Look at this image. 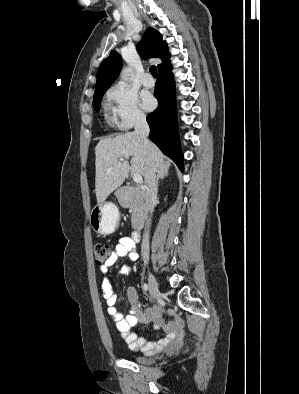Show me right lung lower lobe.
<instances>
[{
  "label": "right lung lower lobe",
  "mask_w": 299,
  "mask_h": 394,
  "mask_svg": "<svg viewBox=\"0 0 299 394\" xmlns=\"http://www.w3.org/2000/svg\"><path fill=\"white\" fill-rule=\"evenodd\" d=\"M171 70L170 62L158 69L154 93L158 108L147 116V122L150 126V140L183 171V154L176 119L175 84Z\"/></svg>",
  "instance_id": "right-lung-lower-lobe-1"
}]
</instances>
